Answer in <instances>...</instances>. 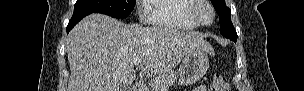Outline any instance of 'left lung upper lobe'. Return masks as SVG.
Listing matches in <instances>:
<instances>
[{
    "label": "left lung upper lobe",
    "mask_w": 304,
    "mask_h": 91,
    "mask_svg": "<svg viewBox=\"0 0 304 91\" xmlns=\"http://www.w3.org/2000/svg\"><path fill=\"white\" fill-rule=\"evenodd\" d=\"M221 24L220 33L231 40L237 39V33L231 22V10L226 6L225 0H211Z\"/></svg>",
    "instance_id": "1"
}]
</instances>
